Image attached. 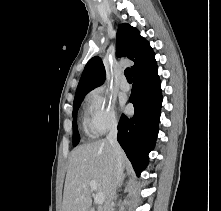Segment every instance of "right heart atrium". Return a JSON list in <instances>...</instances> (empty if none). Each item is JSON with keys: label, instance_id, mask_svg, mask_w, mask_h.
Returning <instances> with one entry per match:
<instances>
[{"label": "right heart atrium", "instance_id": "right-heart-atrium-1", "mask_svg": "<svg viewBox=\"0 0 221 211\" xmlns=\"http://www.w3.org/2000/svg\"><path fill=\"white\" fill-rule=\"evenodd\" d=\"M89 130L102 135L116 128L118 119L113 99L102 88L92 90L86 98Z\"/></svg>", "mask_w": 221, "mask_h": 211}]
</instances>
